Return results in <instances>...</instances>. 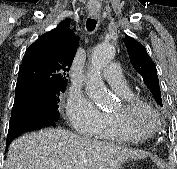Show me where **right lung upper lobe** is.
I'll list each match as a JSON object with an SVG mask.
<instances>
[{"instance_id":"right-lung-upper-lobe-1","label":"right lung upper lobe","mask_w":177,"mask_h":169,"mask_svg":"<svg viewBox=\"0 0 177 169\" xmlns=\"http://www.w3.org/2000/svg\"><path fill=\"white\" fill-rule=\"evenodd\" d=\"M77 46L78 36L65 22L42 35L26 50L18 73L16 95L31 88L66 87Z\"/></svg>"}]
</instances>
